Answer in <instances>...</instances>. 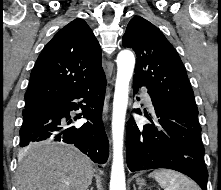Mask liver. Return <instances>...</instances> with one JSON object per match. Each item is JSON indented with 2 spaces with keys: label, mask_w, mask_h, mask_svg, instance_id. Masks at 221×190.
Wrapping results in <instances>:
<instances>
[{
  "label": "liver",
  "mask_w": 221,
  "mask_h": 190,
  "mask_svg": "<svg viewBox=\"0 0 221 190\" xmlns=\"http://www.w3.org/2000/svg\"><path fill=\"white\" fill-rule=\"evenodd\" d=\"M92 178V162L86 155L73 146L47 141L21 152L16 186L17 190H88Z\"/></svg>",
  "instance_id": "liver-1"
}]
</instances>
